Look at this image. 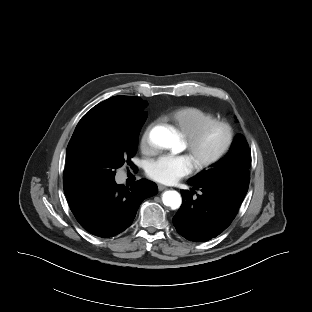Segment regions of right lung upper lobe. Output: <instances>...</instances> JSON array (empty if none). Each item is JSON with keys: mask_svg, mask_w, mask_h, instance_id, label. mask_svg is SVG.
Listing matches in <instances>:
<instances>
[{"mask_svg": "<svg viewBox=\"0 0 312 312\" xmlns=\"http://www.w3.org/2000/svg\"><path fill=\"white\" fill-rule=\"evenodd\" d=\"M145 101L140 97H131V96H115L109 98L92 109H104L111 108L123 112H137L144 109ZM70 204L75 203L82 196H73L70 194H66Z\"/></svg>", "mask_w": 312, "mask_h": 312, "instance_id": "obj_1", "label": "right lung upper lobe"}]
</instances>
